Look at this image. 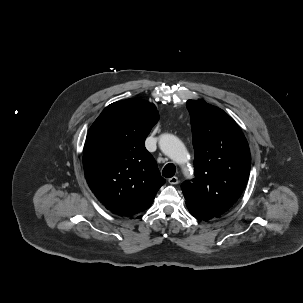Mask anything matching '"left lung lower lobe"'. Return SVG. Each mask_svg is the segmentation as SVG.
Instances as JSON below:
<instances>
[{"instance_id": "1", "label": "left lung lower lobe", "mask_w": 303, "mask_h": 303, "mask_svg": "<svg viewBox=\"0 0 303 303\" xmlns=\"http://www.w3.org/2000/svg\"><path fill=\"white\" fill-rule=\"evenodd\" d=\"M189 210V209H188ZM189 212L196 218L200 219V220H204V221H207L209 219H211L208 215L204 214V213H201V212H196V211H192V210H189Z\"/></svg>"}]
</instances>
